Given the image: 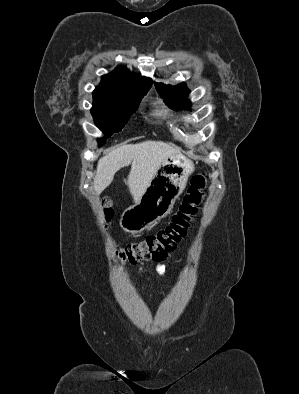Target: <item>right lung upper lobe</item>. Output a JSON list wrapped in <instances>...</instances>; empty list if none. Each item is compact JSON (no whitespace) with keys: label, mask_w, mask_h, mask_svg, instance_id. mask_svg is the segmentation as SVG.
<instances>
[{"label":"right lung upper lobe","mask_w":299,"mask_h":394,"mask_svg":"<svg viewBox=\"0 0 299 394\" xmlns=\"http://www.w3.org/2000/svg\"><path fill=\"white\" fill-rule=\"evenodd\" d=\"M152 85V80L147 77L133 76L125 67H117L107 75L102 76L101 83L96 87L93 94L103 95L114 92H131L146 94Z\"/></svg>","instance_id":"obj_1"}]
</instances>
